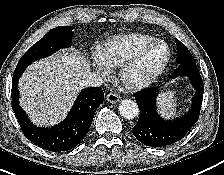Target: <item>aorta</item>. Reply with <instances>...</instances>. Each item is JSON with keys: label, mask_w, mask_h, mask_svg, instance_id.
<instances>
[{"label": "aorta", "mask_w": 224, "mask_h": 175, "mask_svg": "<svg viewBox=\"0 0 224 175\" xmlns=\"http://www.w3.org/2000/svg\"><path fill=\"white\" fill-rule=\"evenodd\" d=\"M119 112L125 119H134L139 114V107L135 101L122 100L119 105Z\"/></svg>", "instance_id": "762f6f07"}]
</instances>
